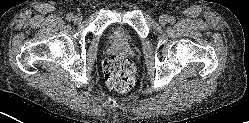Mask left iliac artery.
<instances>
[{"label":"left iliac artery","instance_id":"obj_1","mask_svg":"<svg viewBox=\"0 0 249 123\" xmlns=\"http://www.w3.org/2000/svg\"><path fill=\"white\" fill-rule=\"evenodd\" d=\"M168 22L170 24H174L175 23V18L173 16H170L169 19H168Z\"/></svg>","mask_w":249,"mask_h":123}]
</instances>
